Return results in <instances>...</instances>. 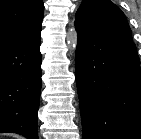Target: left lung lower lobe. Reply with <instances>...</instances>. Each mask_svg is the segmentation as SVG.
Returning a JSON list of instances; mask_svg holds the SVG:
<instances>
[{
	"label": "left lung lower lobe",
	"mask_w": 141,
	"mask_h": 139,
	"mask_svg": "<svg viewBox=\"0 0 141 139\" xmlns=\"http://www.w3.org/2000/svg\"><path fill=\"white\" fill-rule=\"evenodd\" d=\"M75 28L83 139H141V69L134 42Z\"/></svg>",
	"instance_id": "1"
}]
</instances>
